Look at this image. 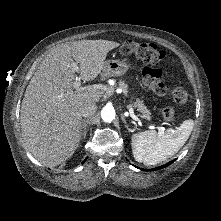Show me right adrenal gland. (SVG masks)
<instances>
[{"mask_svg":"<svg viewBox=\"0 0 221 221\" xmlns=\"http://www.w3.org/2000/svg\"><path fill=\"white\" fill-rule=\"evenodd\" d=\"M88 123H89V119L82 120V124H81V138L82 139L86 137Z\"/></svg>","mask_w":221,"mask_h":221,"instance_id":"right-adrenal-gland-1","label":"right adrenal gland"}]
</instances>
